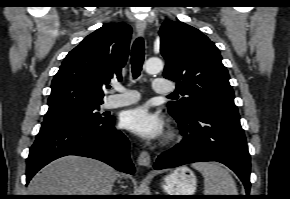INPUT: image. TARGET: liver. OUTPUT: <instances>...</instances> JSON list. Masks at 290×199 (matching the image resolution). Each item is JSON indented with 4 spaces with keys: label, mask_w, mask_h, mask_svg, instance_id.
I'll return each mask as SVG.
<instances>
[{
    "label": "liver",
    "mask_w": 290,
    "mask_h": 199,
    "mask_svg": "<svg viewBox=\"0 0 290 199\" xmlns=\"http://www.w3.org/2000/svg\"><path fill=\"white\" fill-rule=\"evenodd\" d=\"M117 172L109 165L80 156L57 159L31 180L30 195H111Z\"/></svg>",
    "instance_id": "6515ba94"
}]
</instances>
